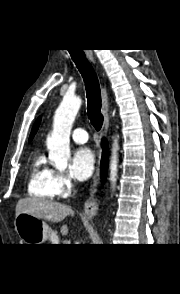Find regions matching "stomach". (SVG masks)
<instances>
[{"mask_svg":"<svg viewBox=\"0 0 180 294\" xmlns=\"http://www.w3.org/2000/svg\"><path fill=\"white\" fill-rule=\"evenodd\" d=\"M14 226L23 244H43L55 234L45 221L27 213L17 215Z\"/></svg>","mask_w":180,"mask_h":294,"instance_id":"1","label":"stomach"}]
</instances>
